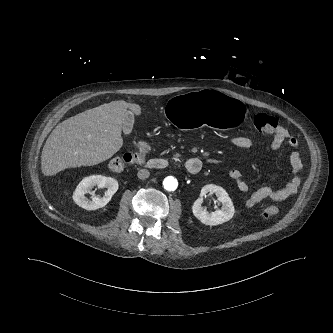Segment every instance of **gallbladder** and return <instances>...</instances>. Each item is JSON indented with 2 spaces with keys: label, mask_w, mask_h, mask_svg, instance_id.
Returning <instances> with one entry per match:
<instances>
[{
  "label": "gallbladder",
  "mask_w": 333,
  "mask_h": 333,
  "mask_svg": "<svg viewBox=\"0 0 333 333\" xmlns=\"http://www.w3.org/2000/svg\"><path fill=\"white\" fill-rule=\"evenodd\" d=\"M133 125H134V116L129 112L122 123V130L124 134L126 135L130 134L132 132Z\"/></svg>",
  "instance_id": "1"
}]
</instances>
